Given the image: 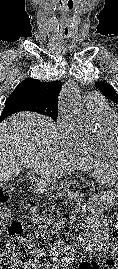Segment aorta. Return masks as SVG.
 Returning a JSON list of instances; mask_svg holds the SVG:
<instances>
[{"label":"aorta","mask_w":118,"mask_h":269,"mask_svg":"<svg viewBox=\"0 0 118 269\" xmlns=\"http://www.w3.org/2000/svg\"><path fill=\"white\" fill-rule=\"evenodd\" d=\"M61 107L64 111L75 117L81 126L91 129L94 127L84 105L82 103L78 86L69 82L65 85L61 94Z\"/></svg>","instance_id":"aorta-1"}]
</instances>
